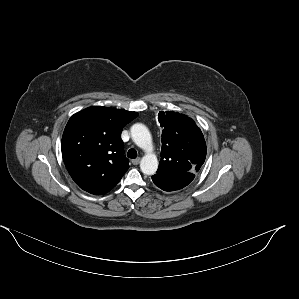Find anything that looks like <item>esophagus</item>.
Listing matches in <instances>:
<instances>
[{"instance_id": "34e87169", "label": "esophagus", "mask_w": 299, "mask_h": 299, "mask_svg": "<svg viewBox=\"0 0 299 299\" xmlns=\"http://www.w3.org/2000/svg\"><path fill=\"white\" fill-rule=\"evenodd\" d=\"M140 163V158H136L132 160L133 165H138Z\"/></svg>"}]
</instances>
